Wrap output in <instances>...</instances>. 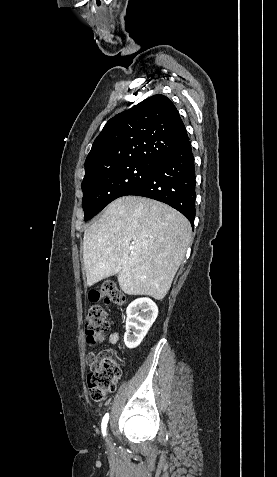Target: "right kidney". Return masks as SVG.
I'll return each instance as SVG.
<instances>
[{"label": "right kidney", "mask_w": 277, "mask_h": 477, "mask_svg": "<svg viewBox=\"0 0 277 477\" xmlns=\"http://www.w3.org/2000/svg\"><path fill=\"white\" fill-rule=\"evenodd\" d=\"M126 314L124 342L127 348L133 349L142 342L156 320L158 307L149 298H138L129 304Z\"/></svg>", "instance_id": "1"}]
</instances>
